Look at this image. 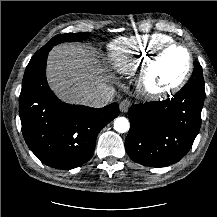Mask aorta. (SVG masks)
<instances>
[{"instance_id":"762f6f07","label":"aorta","mask_w":217,"mask_h":217,"mask_svg":"<svg viewBox=\"0 0 217 217\" xmlns=\"http://www.w3.org/2000/svg\"><path fill=\"white\" fill-rule=\"evenodd\" d=\"M130 123L125 117H118L114 121V129L119 133H125L129 130Z\"/></svg>"}]
</instances>
